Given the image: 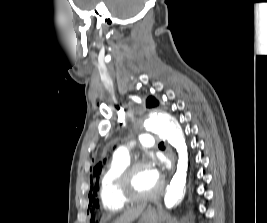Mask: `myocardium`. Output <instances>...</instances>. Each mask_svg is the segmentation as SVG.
Here are the masks:
<instances>
[{
  "mask_svg": "<svg viewBox=\"0 0 267 223\" xmlns=\"http://www.w3.org/2000/svg\"><path fill=\"white\" fill-rule=\"evenodd\" d=\"M142 167H151L147 158L134 160L120 173L117 180V190L121 199L127 203L147 202L157 198L162 191V184L159 183L158 188L148 194H136L131 189V181L135 172Z\"/></svg>",
  "mask_w": 267,
  "mask_h": 223,
  "instance_id": "obj_1",
  "label": "myocardium"
}]
</instances>
